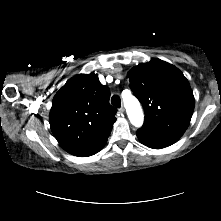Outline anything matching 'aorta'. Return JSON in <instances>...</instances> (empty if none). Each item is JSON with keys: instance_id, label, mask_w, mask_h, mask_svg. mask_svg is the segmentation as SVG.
<instances>
[{"instance_id": "obj_1", "label": "aorta", "mask_w": 221, "mask_h": 221, "mask_svg": "<svg viewBox=\"0 0 221 221\" xmlns=\"http://www.w3.org/2000/svg\"><path fill=\"white\" fill-rule=\"evenodd\" d=\"M128 118L132 125L140 127L144 121V115L139 101L135 97H127L124 101Z\"/></svg>"}]
</instances>
